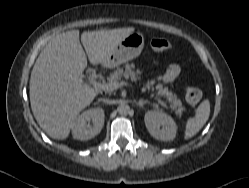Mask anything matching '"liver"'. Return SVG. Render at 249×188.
Here are the masks:
<instances>
[{
	"label": "liver",
	"instance_id": "obj_1",
	"mask_svg": "<svg viewBox=\"0 0 249 188\" xmlns=\"http://www.w3.org/2000/svg\"><path fill=\"white\" fill-rule=\"evenodd\" d=\"M135 28L57 35L39 54L30 77V103L40 127L53 139H66L78 114L93 101L98 91L84 83L82 72L87 56L92 65L105 57ZM87 54V56H86Z\"/></svg>",
	"mask_w": 249,
	"mask_h": 188
}]
</instances>
